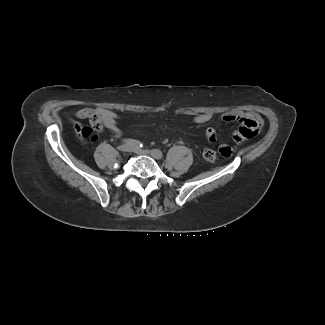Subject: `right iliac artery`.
<instances>
[{"instance_id": "1", "label": "right iliac artery", "mask_w": 325, "mask_h": 325, "mask_svg": "<svg viewBox=\"0 0 325 325\" xmlns=\"http://www.w3.org/2000/svg\"><path fill=\"white\" fill-rule=\"evenodd\" d=\"M123 143L130 147H135V148L143 147V144L140 141L134 140V139H126V140H124Z\"/></svg>"}]
</instances>
